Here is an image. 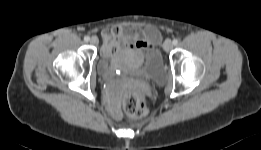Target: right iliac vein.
Listing matches in <instances>:
<instances>
[{
	"instance_id": "63e3f726",
	"label": "right iliac vein",
	"mask_w": 261,
	"mask_h": 150,
	"mask_svg": "<svg viewBox=\"0 0 261 150\" xmlns=\"http://www.w3.org/2000/svg\"><path fill=\"white\" fill-rule=\"evenodd\" d=\"M90 43H91V44H94V45L98 44V38L95 37V36H93V37L90 39Z\"/></svg>"
}]
</instances>
